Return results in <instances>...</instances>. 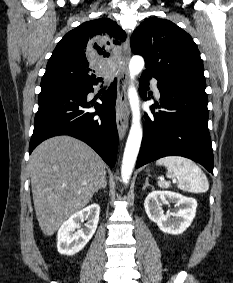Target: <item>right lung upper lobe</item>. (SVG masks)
<instances>
[{
    "label": "right lung upper lobe",
    "mask_w": 233,
    "mask_h": 283,
    "mask_svg": "<svg viewBox=\"0 0 233 283\" xmlns=\"http://www.w3.org/2000/svg\"><path fill=\"white\" fill-rule=\"evenodd\" d=\"M126 33L108 18L87 21L68 32L57 44L41 82L66 81L86 86L102 80L95 70L112 65L116 46L123 43Z\"/></svg>",
    "instance_id": "1"
}]
</instances>
